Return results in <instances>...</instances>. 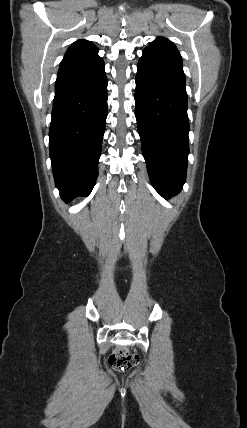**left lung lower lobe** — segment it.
Masks as SVG:
<instances>
[{
	"mask_svg": "<svg viewBox=\"0 0 247 428\" xmlns=\"http://www.w3.org/2000/svg\"><path fill=\"white\" fill-rule=\"evenodd\" d=\"M136 74L135 116L154 189L165 199L186 180L189 120L182 59L145 48Z\"/></svg>",
	"mask_w": 247,
	"mask_h": 428,
	"instance_id": "obj_1",
	"label": "left lung lower lobe"
}]
</instances>
